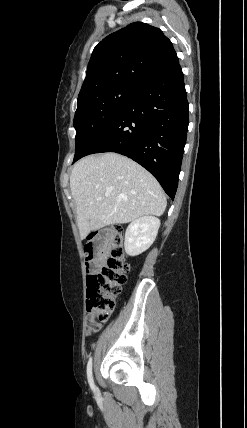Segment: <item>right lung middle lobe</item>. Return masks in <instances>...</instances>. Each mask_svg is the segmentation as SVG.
I'll return each mask as SVG.
<instances>
[{
  "label": "right lung middle lobe",
  "instance_id": "1",
  "mask_svg": "<svg viewBox=\"0 0 247 428\" xmlns=\"http://www.w3.org/2000/svg\"><path fill=\"white\" fill-rule=\"evenodd\" d=\"M139 91L129 86H113L78 96L73 122L76 129L74 159L84 153Z\"/></svg>",
  "mask_w": 247,
  "mask_h": 428
}]
</instances>
